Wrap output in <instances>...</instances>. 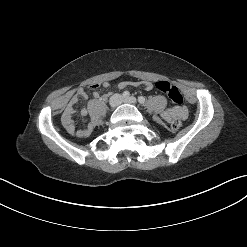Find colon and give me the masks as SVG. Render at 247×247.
Here are the masks:
<instances>
[{"label":"colon","mask_w":247,"mask_h":247,"mask_svg":"<svg viewBox=\"0 0 247 247\" xmlns=\"http://www.w3.org/2000/svg\"><path fill=\"white\" fill-rule=\"evenodd\" d=\"M155 87L162 93L166 94L168 98L176 105L180 106L183 103V96L179 89L168 81H158ZM181 120L176 118L171 123V128L177 131L181 128Z\"/></svg>","instance_id":"1"}]
</instances>
